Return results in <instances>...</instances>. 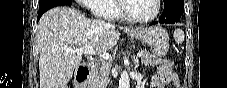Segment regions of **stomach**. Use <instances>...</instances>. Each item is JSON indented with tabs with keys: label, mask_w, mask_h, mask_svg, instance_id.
<instances>
[{
	"label": "stomach",
	"mask_w": 227,
	"mask_h": 88,
	"mask_svg": "<svg viewBox=\"0 0 227 88\" xmlns=\"http://www.w3.org/2000/svg\"><path fill=\"white\" fill-rule=\"evenodd\" d=\"M128 35L135 40L147 44L155 56L162 57L169 49L168 33L160 26L130 31Z\"/></svg>",
	"instance_id": "0dacf381"
}]
</instances>
